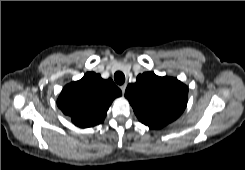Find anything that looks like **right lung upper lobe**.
Returning <instances> with one entry per match:
<instances>
[{"label": "right lung upper lobe", "mask_w": 245, "mask_h": 170, "mask_svg": "<svg viewBox=\"0 0 245 170\" xmlns=\"http://www.w3.org/2000/svg\"><path fill=\"white\" fill-rule=\"evenodd\" d=\"M121 95L111 79L87 72L82 79L63 88L57 105L76 126L87 128L102 123L112 101Z\"/></svg>", "instance_id": "1"}]
</instances>
